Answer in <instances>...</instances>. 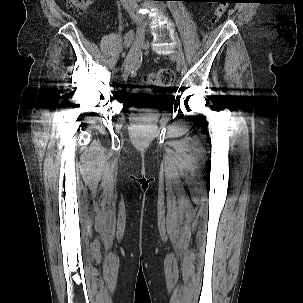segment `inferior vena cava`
Segmentation results:
<instances>
[{"instance_id":"602c4592","label":"inferior vena cava","mask_w":303,"mask_h":303,"mask_svg":"<svg viewBox=\"0 0 303 303\" xmlns=\"http://www.w3.org/2000/svg\"><path fill=\"white\" fill-rule=\"evenodd\" d=\"M124 9L127 10V12L130 14V16L134 20L140 19L139 15L137 14L138 11V0H120Z\"/></svg>"}]
</instances>
